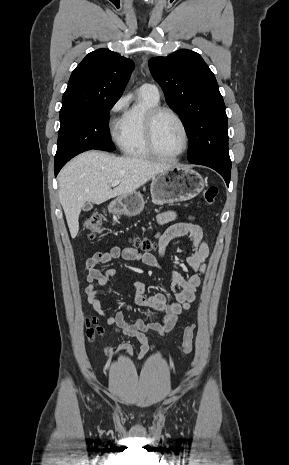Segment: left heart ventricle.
Here are the masks:
<instances>
[{
  "label": "left heart ventricle",
  "mask_w": 289,
  "mask_h": 465,
  "mask_svg": "<svg viewBox=\"0 0 289 465\" xmlns=\"http://www.w3.org/2000/svg\"><path fill=\"white\" fill-rule=\"evenodd\" d=\"M155 140L164 155H174L184 146V134L178 121L169 114H162L156 123Z\"/></svg>",
  "instance_id": "b2bd125f"
}]
</instances>
